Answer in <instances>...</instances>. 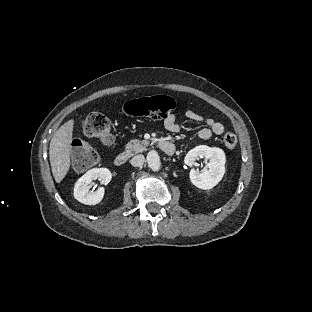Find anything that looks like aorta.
<instances>
[{
    "label": "aorta",
    "instance_id": "762f6f07",
    "mask_svg": "<svg viewBox=\"0 0 312 312\" xmlns=\"http://www.w3.org/2000/svg\"><path fill=\"white\" fill-rule=\"evenodd\" d=\"M148 166L153 171H159L161 169V161L156 152L152 151L147 156Z\"/></svg>",
    "mask_w": 312,
    "mask_h": 312
}]
</instances>
